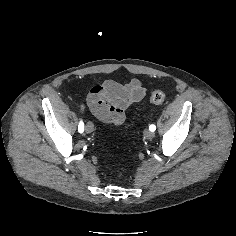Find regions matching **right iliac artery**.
<instances>
[{
    "label": "right iliac artery",
    "mask_w": 236,
    "mask_h": 236,
    "mask_svg": "<svg viewBox=\"0 0 236 236\" xmlns=\"http://www.w3.org/2000/svg\"><path fill=\"white\" fill-rule=\"evenodd\" d=\"M78 131L80 133H82L84 131V123L82 121H80V123L78 125Z\"/></svg>",
    "instance_id": "right-iliac-artery-1"
}]
</instances>
